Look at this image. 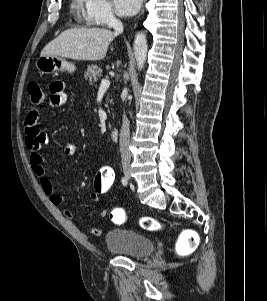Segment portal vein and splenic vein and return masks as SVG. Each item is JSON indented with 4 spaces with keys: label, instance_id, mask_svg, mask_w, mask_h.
<instances>
[{
    "label": "portal vein and splenic vein",
    "instance_id": "portal-vein-and-splenic-vein-1",
    "mask_svg": "<svg viewBox=\"0 0 267 301\" xmlns=\"http://www.w3.org/2000/svg\"><path fill=\"white\" fill-rule=\"evenodd\" d=\"M110 86V81L107 79H102L99 89H107Z\"/></svg>",
    "mask_w": 267,
    "mask_h": 301
}]
</instances>
